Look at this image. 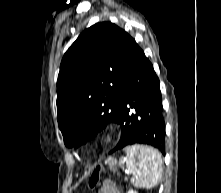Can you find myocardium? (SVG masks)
I'll list each match as a JSON object with an SVG mask.
<instances>
[{
	"label": "myocardium",
	"instance_id": "myocardium-1",
	"mask_svg": "<svg viewBox=\"0 0 221 193\" xmlns=\"http://www.w3.org/2000/svg\"><path fill=\"white\" fill-rule=\"evenodd\" d=\"M117 138L116 129L113 126H106L100 134L99 142L102 147H111Z\"/></svg>",
	"mask_w": 221,
	"mask_h": 193
}]
</instances>
